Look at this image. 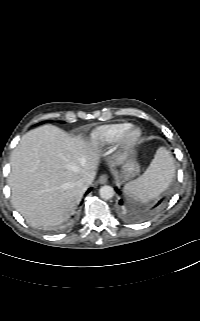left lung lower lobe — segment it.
Returning <instances> with one entry per match:
<instances>
[{"label":"left lung lower lobe","mask_w":200,"mask_h":321,"mask_svg":"<svg viewBox=\"0 0 200 321\" xmlns=\"http://www.w3.org/2000/svg\"><path fill=\"white\" fill-rule=\"evenodd\" d=\"M161 202V201H160ZM160 202L158 203V204H160ZM157 204V205H158ZM119 205H120V207H121V209L123 208V206H124V201L121 199V200H119ZM156 205V206H157Z\"/></svg>","instance_id":"left-lung-lower-lobe-1"}]
</instances>
